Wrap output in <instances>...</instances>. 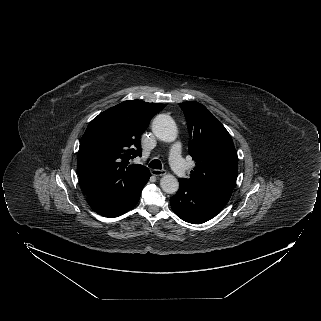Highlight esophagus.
<instances>
[{"label": "esophagus", "mask_w": 321, "mask_h": 321, "mask_svg": "<svg viewBox=\"0 0 321 321\" xmlns=\"http://www.w3.org/2000/svg\"><path fill=\"white\" fill-rule=\"evenodd\" d=\"M151 174L154 176H163L166 174L165 170L152 169Z\"/></svg>", "instance_id": "esophagus-1"}]
</instances>
